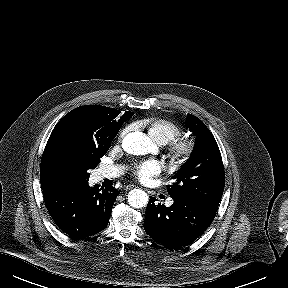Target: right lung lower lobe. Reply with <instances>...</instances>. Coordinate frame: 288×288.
I'll list each match as a JSON object with an SVG mask.
<instances>
[{
	"label": "right lung lower lobe",
	"mask_w": 288,
	"mask_h": 288,
	"mask_svg": "<svg viewBox=\"0 0 288 288\" xmlns=\"http://www.w3.org/2000/svg\"><path fill=\"white\" fill-rule=\"evenodd\" d=\"M46 207L56 225L74 239L102 231L108 224L118 196L114 187L90 188L88 181L42 189ZM102 190V191H101Z\"/></svg>",
	"instance_id": "1"
}]
</instances>
